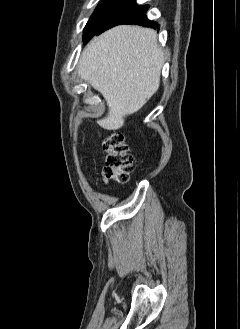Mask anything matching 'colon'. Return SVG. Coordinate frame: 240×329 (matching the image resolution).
I'll return each instance as SVG.
<instances>
[{
    "label": "colon",
    "instance_id": "1",
    "mask_svg": "<svg viewBox=\"0 0 240 329\" xmlns=\"http://www.w3.org/2000/svg\"><path fill=\"white\" fill-rule=\"evenodd\" d=\"M107 152L103 179L107 182L127 183L133 169V157L121 132H113L103 141Z\"/></svg>",
    "mask_w": 240,
    "mask_h": 329
}]
</instances>
